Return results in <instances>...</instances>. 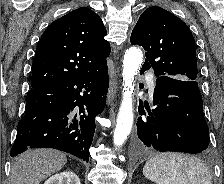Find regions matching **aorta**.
I'll use <instances>...</instances> for the list:
<instances>
[{
    "label": "aorta",
    "mask_w": 224,
    "mask_h": 184,
    "mask_svg": "<svg viewBox=\"0 0 224 184\" xmlns=\"http://www.w3.org/2000/svg\"><path fill=\"white\" fill-rule=\"evenodd\" d=\"M143 61L142 51L137 47L129 48L123 59V98L117 116L113 142L116 147H121L128 138L133 125L132 93L134 79Z\"/></svg>",
    "instance_id": "762f6f07"
}]
</instances>
